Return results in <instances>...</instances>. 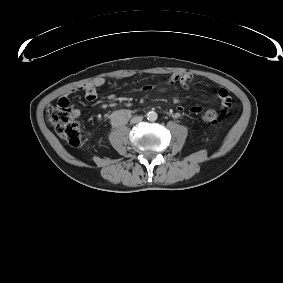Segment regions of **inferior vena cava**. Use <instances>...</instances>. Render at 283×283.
Here are the masks:
<instances>
[{
  "instance_id": "1",
  "label": "inferior vena cava",
  "mask_w": 283,
  "mask_h": 283,
  "mask_svg": "<svg viewBox=\"0 0 283 283\" xmlns=\"http://www.w3.org/2000/svg\"><path fill=\"white\" fill-rule=\"evenodd\" d=\"M143 120L142 116H135L131 119V123H138Z\"/></svg>"
}]
</instances>
